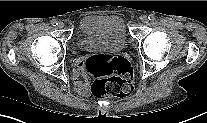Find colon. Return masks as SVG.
I'll list each match as a JSON object with an SVG mask.
<instances>
[{
	"label": "colon",
	"mask_w": 207,
	"mask_h": 123,
	"mask_svg": "<svg viewBox=\"0 0 207 123\" xmlns=\"http://www.w3.org/2000/svg\"><path fill=\"white\" fill-rule=\"evenodd\" d=\"M89 74L94 77L92 93L97 97H124L132 91L133 69L123 57L95 55L86 62Z\"/></svg>",
	"instance_id": "colon-1"
}]
</instances>
